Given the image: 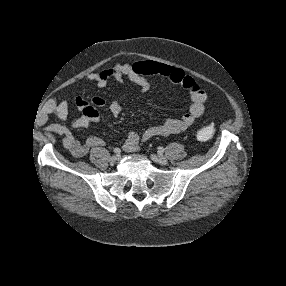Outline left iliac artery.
I'll return each mask as SVG.
<instances>
[{
    "label": "left iliac artery",
    "mask_w": 286,
    "mask_h": 286,
    "mask_svg": "<svg viewBox=\"0 0 286 286\" xmlns=\"http://www.w3.org/2000/svg\"><path fill=\"white\" fill-rule=\"evenodd\" d=\"M158 150L159 152H164L165 149L163 147H159Z\"/></svg>",
    "instance_id": "obj_1"
}]
</instances>
